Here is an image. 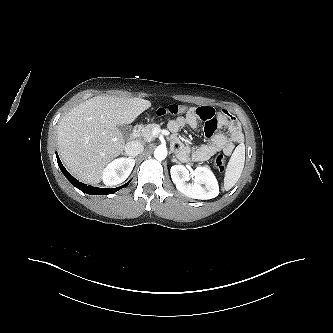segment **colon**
Here are the masks:
<instances>
[{
  "label": "colon",
  "mask_w": 333,
  "mask_h": 333,
  "mask_svg": "<svg viewBox=\"0 0 333 333\" xmlns=\"http://www.w3.org/2000/svg\"><path fill=\"white\" fill-rule=\"evenodd\" d=\"M188 107L180 104H170L165 107H160L156 111L157 116H166V115H179L185 113ZM213 166L219 171H224L226 168V158L223 154H218L213 160Z\"/></svg>",
  "instance_id": "1"
}]
</instances>
